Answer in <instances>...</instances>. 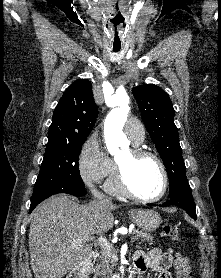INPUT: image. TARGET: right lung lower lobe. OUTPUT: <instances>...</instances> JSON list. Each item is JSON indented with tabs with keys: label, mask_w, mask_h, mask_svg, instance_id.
I'll use <instances>...</instances> for the list:
<instances>
[{
	"label": "right lung lower lobe",
	"mask_w": 221,
	"mask_h": 278,
	"mask_svg": "<svg viewBox=\"0 0 221 278\" xmlns=\"http://www.w3.org/2000/svg\"><path fill=\"white\" fill-rule=\"evenodd\" d=\"M85 186H78L70 183H62L55 186L50 187L43 193L39 194L36 197L31 199L30 211L31 212L41 201L46 198L58 194V193H66L74 196H83L86 194Z\"/></svg>",
	"instance_id": "1"
}]
</instances>
